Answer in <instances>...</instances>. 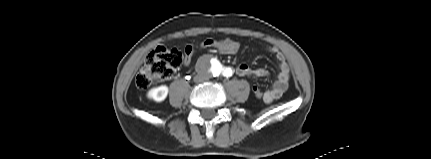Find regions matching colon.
<instances>
[{
	"label": "colon",
	"instance_id": "obj_1",
	"mask_svg": "<svg viewBox=\"0 0 431 159\" xmlns=\"http://www.w3.org/2000/svg\"><path fill=\"white\" fill-rule=\"evenodd\" d=\"M217 55L236 56V49H217ZM183 62V54L176 48L158 46L151 51L145 61L139 67L135 77V84L140 89L148 88L153 82L165 80L173 76ZM253 95L258 99L264 96V90L260 87L253 88Z\"/></svg>",
	"mask_w": 431,
	"mask_h": 159
}]
</instances>
